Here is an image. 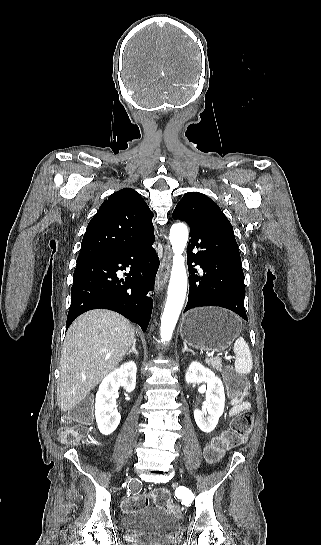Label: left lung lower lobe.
<instances>
[{
    "instance_id": "0a47b994",
    "label": "left lung lower lobe",
    "mask_w": 321,
    "mask_h": 545,
    "mask_svg": "<svg viewBox=\"0 0 321 545\" xmlns=\"http://www.w3.org/2000/svg\"><path fill=\"white\" fill-rule=\"evenodd\" d=\"M187 222L191 239L187 246L189 295L184 310L202 306L230 309L247 320L244 307V273L231 223L225 215L175 218ZM199 265L203 276H198Z\"/></svg>"
}]
</instances>
